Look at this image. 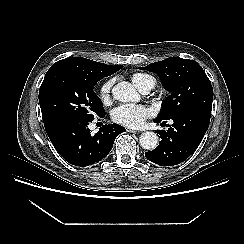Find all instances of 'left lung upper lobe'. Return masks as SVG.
Returning <instances> with one entry per match:
<instances>
[{
	"instance_id": "left-lung-upper-lobe-1",
	"label": "left lung upper lobe",
	"mask_w": 244,
	"mask_h": 244,
	"mask_svg": "<svg viewBox=\"0 0 244 244\" xmlns=\"http://www.w3.org/2000/svg\"><path fill=\"white\" fill-rule=\"evenodd\" d=\"M140 69L156 73L164 88L171 93L164 100L156 119L168 120L185 111L211 115L212 85L196 61L170 57Z\"/></svg>"
}]
</instances>
